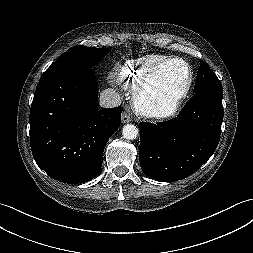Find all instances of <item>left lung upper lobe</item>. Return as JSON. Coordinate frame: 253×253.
<instances>
[{"label": "left lung upper lobe", "mask_w": 253, "mask_h": 253, "mask_svg": "<svg viewBox=\"0 0 253 253\" xmlns=\"http://www.w3.org/2000/svg\"><path fill=\"white\" fill-rule=\"evenodd\" d=\"M204 90L223 92L222 85L217 76L212 72L209 66L203 60H200V68L197 73L194 92Z\"/></svg>", "instance_id": "obj_1"}]
</instances>
